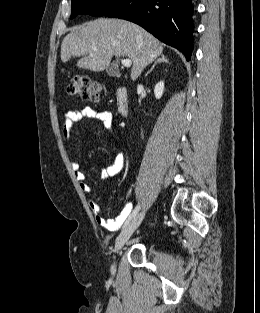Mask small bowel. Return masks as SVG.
Segmentation results:
<instances>
[{"mask_svg": "<svg viewBox=\"0 0 260 313\" xmlns=\"http://www.w3.org/2000/svg\"><path fill=\"white\" fill-rule=\"evenodd\" d=\"M83 118H87L94 123L100 124L106 131L112 133L114 122L113 114L107 110H97L87 106L81 109L70 110L66 112L61 125L62 135L66 141H68L71 135L74 124ZM124 164V154L119 153L114 159V162L105 169L103 176L107 178L117 175L123 169ZM70 166L74 173V178L78 182L81 191L87 195H90L91 188L86 182L85 174L81 170L79 162L76 160H72L70 162ZM122 199L124 201V206L122 207L118 216L114 219H108L105 217V214L100 205L91 196L88 197L89 208L99 225L107 230H115L119 228L124 221H127L129 219L132 214L131 210L133 204L128 197H123Z\"/></svg>", "mask_w": 260, "mask_h": 313, "instance_id": "small-bowel-1", "label": "small bowel"}]
</instances>
